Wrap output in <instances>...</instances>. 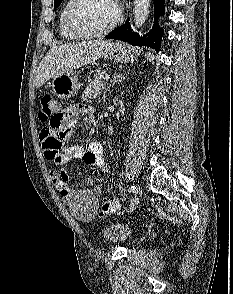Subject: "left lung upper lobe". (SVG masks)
<instances>
[{"label": "left lung upper lobe", "mask_w": 233, "mask_h": 294, "mask_svg": "<svg viewBox=\"0 0 233 294\" xmlns=\"http://www.w3.org/2000/svg\"><path fill=\"white\" fill-rule=\"evenodd\" d=\"M62 0H54V7H58L61 4Z\"/></svg>", "instance_id": "1"}]
</instances>
